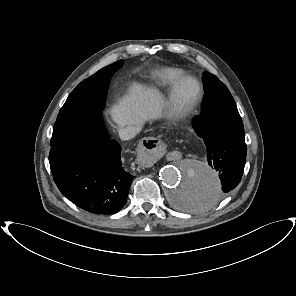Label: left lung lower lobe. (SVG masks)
Instances as JSON below:
<instances>
[{"label":"left lung lower lobe","mask_w":296,"mask_h":296,"mask_svg":"<svg viewBox=\"0 0 296 296\" xmlns=\"http://www.w3.org/2000/svg\"><path fill=\"white\" fill-rule=\"evenodd\" d=\"M193 128L205 144L209 165L221 180L216 192L203 191L188 180L179 192L185 210H206L224 198L240 182L246 163L244 126L230 95L203 101L202 112L193 119Z\"/></svg>","instance_id":"obj_1"}]
</instances>
